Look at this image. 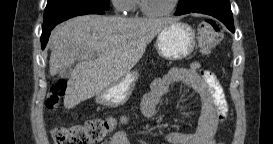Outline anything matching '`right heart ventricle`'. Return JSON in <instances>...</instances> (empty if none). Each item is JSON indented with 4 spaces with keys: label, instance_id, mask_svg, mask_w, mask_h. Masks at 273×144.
Masks as SVG:
<instances>
[{
    "label": "right heart ventricle",
    "instance_id": "right-heart-ventricle-1",
    "mask_svg": "<svg viewBox=\"0 0 273 144\" xmlns=\"http://www.w3.org/2000/svg\"><path fill=\"white\" fill-rule=\"evenodd\" d=\"M139 4L138 0H131L129 4L130 11L135 10Z\"/></svg>",
    "mask_w": 273,
    "mask_h": 144
}]
</instances>
